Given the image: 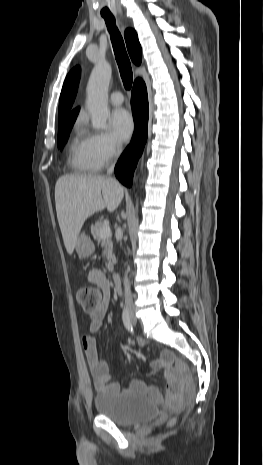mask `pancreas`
Wrapping results in <instances>:
<instances>
[{
    "instance_id": "cf45deb5",
    "label": "pancreas",
    "mask_w": 263,
    "mask_h": 465,
    "mask_svg": "<svg viewBox=\"0 0 263 465\" xmlns=\"http://www.w3.org/2000/svg\"><path fill=\"white\" fill-rule=\"evenodd\" d=\"M104 227L102 221H97L94 225L91 226V233L93 238L97 241L98 244H101L105 248L106 259L108 261V268L110 271L113 270V266L116 263L115 255L113 254V242L111 235L107 238L100 236V230Z\"/></svg>"
}]
</instances>
